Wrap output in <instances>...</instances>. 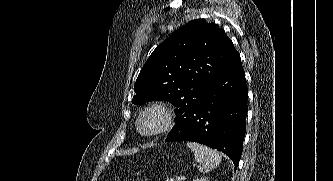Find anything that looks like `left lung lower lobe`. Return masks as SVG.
<instances>
[{"label":"left lung lower lobe","mask_w":333,"mask_h":181,"mask_svg":"<svg viewBox=\"0 0 333 181\" xmlns=\"http://www.w3.org/2000/svg\"><path fill=\"white\" fill-rule=\"evenodd\" d=\"M247 110L245 74L238 55L208 85L201 103L175 119L176 124L165 142L193 141L207 145L225 153L237 167Z\"/></svg>","instance_id":"left-lung-lower-lobe-1"}]
</instances>
